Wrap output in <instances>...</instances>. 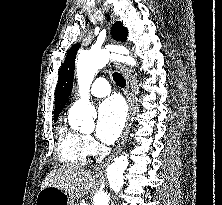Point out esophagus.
<instances>
[{
	"mask_svg": "<svg viewBox=\"0 0 222 205\" xmlns=\"http://www.w3.org/2000/svg\"><path fill=\"white\" fill-rule=\"evenodd\" d=\"M111 17L114 19L113 15H111ZM116 67L122 72V74L124 75L126 79V98L129 105V112H128L127 122L125 125V129L123 131L120 144L116 148L115 152L98 167L99 171L103 170L109 164L112 158L121 150V148L126 143V140L130 131V127H131L132 116H133V84L130 77V73L128 69L122 64L117 63Z\"/></svg>",
	"mask_w": 222,
	"mask_h": 205,
	"instance_id": "34e87169",
	"label": "esophagus"
}]
</instances>
